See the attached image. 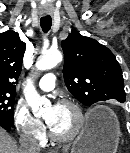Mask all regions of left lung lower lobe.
Returning <instances> with one entry per match:
<instances>
[{"label":"left lung lower lobe","mask_w":130,"mask_h":153,"mask_svg":"<svg viewBox=\"0 0 130 153\" xmlns=\"http://www.w3.org/2000/svg\"><path fill=\"white\" fill-rule=\"evenodd\" d=\"M119 102L124 103L125 101L121 100V101H119Z\"/></svg>","instance_id":"left-lung-lower-lobe-1"}]
</instances>
